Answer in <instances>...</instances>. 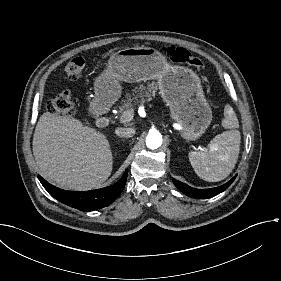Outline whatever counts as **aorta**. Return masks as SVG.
I'll return each instance as SVG.
<instances>
[{
  "label": "aorta",
  "mask_w": 281,
  "mask_h": 281,
  "mask_svg": "<svg viewBox=\"0 0 281 281\" xmlns=\"http://www.w3.org/2000/svg\"><path fill=\"white\" fill-rule=\"evenodd\" d=\"M146 145L150 149H156L162 145V136L157 130H152L146 137Z\"/></svg>",
  "instance_id": "1"
}]
</instances>
